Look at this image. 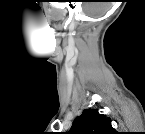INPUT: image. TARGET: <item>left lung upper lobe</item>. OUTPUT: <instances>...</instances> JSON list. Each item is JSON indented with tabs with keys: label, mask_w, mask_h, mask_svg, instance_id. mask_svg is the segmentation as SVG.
Returning a JSON list of instances; mask_svg holds the SVG:
<instances>
[{
	"label": "left lung upper lobe",
	"mask_w": 145,
	"mask_h": 134,
	"mask_svg": "<svg viewBox=\"0 0 145 134\" xmlns=\"http://www.w3.org/2000/svg\"><path fill=\"white\" fill-rule=\"evenodd\" d=\"M71 134H116L111 119L96 109H85L78 116L69 131Z\"/></svg>",
	"instance_id": "left-lung-upper-lobe-1"
}]
</instances>
